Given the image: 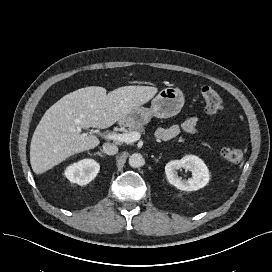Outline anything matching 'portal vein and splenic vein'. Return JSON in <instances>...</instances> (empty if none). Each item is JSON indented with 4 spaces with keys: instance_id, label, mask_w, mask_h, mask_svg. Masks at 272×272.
Instances as JSON below:
<instances>
[{
    "instance_id": "1",
    "label": "portal vein and splenic vein",
    "mask_w": 272,
    "mask_h": 272,
    "mask_svg": "<svg viewBox=\"0 0 272 272\" xmlns=\"http://www.w3.org/2000/svg\"><path fill=\"white\" fill-rule=\"evenodd\" d=\"M141 137L140 132H130V133H109L105 134L104 138L108 140H113V141H119V142H125V143H133L137 140H139Z\"/></svg>"
}]
</instances>
